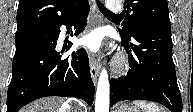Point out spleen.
I'll return each mask as SVG.
<instances>
[{
	"mask_svg": "<svg viewBox=\"0 0 193 112\" xmlns=\"http://www.w3.org/2000/svg\"><path fill=\"white\" fill-rule=\"evenodd\" d=\"M133 104L140 107L143 112H162V110L155 103L146 102L144 100H136L133 101Z\"/></svg>",
	"mask_w": 193,
	"mask_h": 112,
	"instance_id": "spleen-1",
	"label": "spleen"
}]
</instances>
